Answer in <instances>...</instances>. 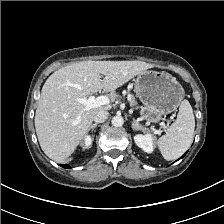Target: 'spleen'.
<instances>
[{
    "mask_svg": "<svg viewBox=\"0 0 224 224\" xmlns=\"http://www.w3.org/2000/svg\"><path fill=\"white\" fill-rule=\"evenodd\" d=\"M194 129L195 118L192 107L188 100H183L177 119L157 141L164 159L170 161L182 156L192 143Z\"/></svg>",
    "mask_w": 224,
    "mask_h": 224,
    "instance_id": "spleen-1",
    "label": "spleen"
}]
</instances>
